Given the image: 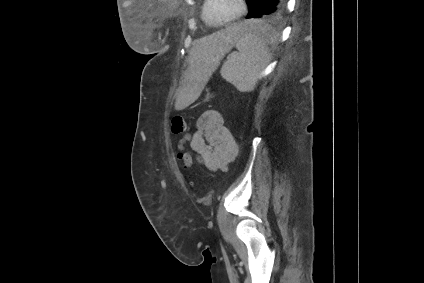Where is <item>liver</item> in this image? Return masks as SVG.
Listing matches in <instances>:
<instances>
[{
  "label": "liver",
  "mask_w": 424,
  "mask_h": 283,
  "mask_svg": "<svg viewBox=\"0 0 424 283\" xmlns=\"http://www.w3.org/2000/svg\"><path fill=\"white\" fill-rule=\"evenodd\" d=\"M245 31L243 24H233L194 42L189 52L186 83L177 93L176 110L188 107L197 99L220 59L244 36Z\"/></svg>",
  "instance_id": "1"
}]
</instances>
